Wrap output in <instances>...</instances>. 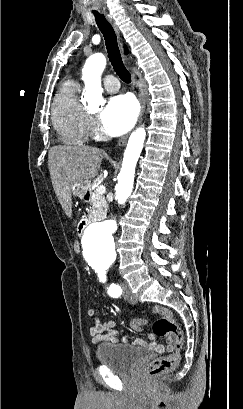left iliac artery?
I'll return each mask as SVG.
<instances>
[{
	"mask_svg": "<svg viewBox=\"0 0 243 409\" xmlns=\"http://www.w3.org/2000/svg\"><path fill=\"white\" fill-rule=\"evenodd\" d=\"M100 281H106V272H99ZM122 293L121 287L117 284L112 283L108 288V294L112 297H118Z\"/></svg>",
	"mask_w": 243,
	"mask_h": 409,
	"instance_id": "1",
	"label": "left iliac artery"
}]
</instances>
